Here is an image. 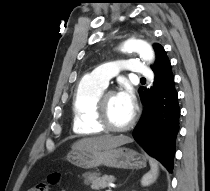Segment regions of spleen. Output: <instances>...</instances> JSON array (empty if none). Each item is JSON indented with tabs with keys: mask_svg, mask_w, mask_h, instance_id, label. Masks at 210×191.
<instances>
[{
	"mask_svg": "<svg viewBox=\"0 0 210 191\" xmlns=\"http://www.w3.org/2000/svg\"><path fill=\"white\" fill-rule=\"evenodd\" d=\"M149 163L151 170L142 177L141 179L142 186H148L153 182H155L159 174V168L157 162L151 159Z\"/></svg>",
	"mask_w": 210,
	"mask_h": 191,
	"instance_id": "1",
	"label": "spleen"
}]
</instances>
